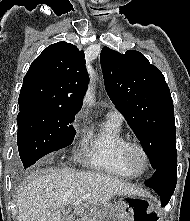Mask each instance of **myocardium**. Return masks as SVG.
<instances>
[{"instance_id": "obj_1", "label": "myocardium", "mask_w": 190, "mask_h": 221, "mask_svg": "<svg viewBox=\"0 0 190 221\" xmlns=\"http://www.w3.org/2000/svg\"><path fill=\"white\" fill-rule=\"evenodd\" d=\"M140 152L143 156V162L139 164L135 159V153ZM125 160L128 165L137 173H144L150 164V155L147 148L139 141H128L124 150Z\"/></svg>"}]
</instances>
